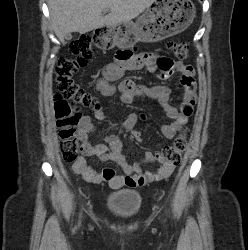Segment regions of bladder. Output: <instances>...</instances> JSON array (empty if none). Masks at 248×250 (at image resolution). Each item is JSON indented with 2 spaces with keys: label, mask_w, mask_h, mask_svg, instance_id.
Masks as SVG:
<instances>
[{
  "label": "bladder",
  "mask_w": 248,
  "mask_h": 250,
  "mask_svg": "<svg viewBox=\"0 0 248 250\" xmlns=\"http://www.w3.org/2000/svg\"><path fill=\"white\" fill-rule=\"evenodd\" d=\"M107 209L122 218L135 216L142 207V195L138 190L122 189L110 192L106 200Z\"/></svg>",
  "instance_id": "31cf9c89"
}]
</instances>
